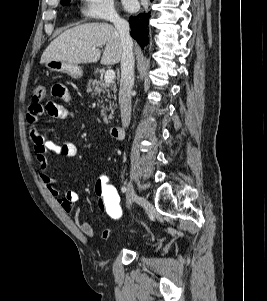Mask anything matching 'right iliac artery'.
Wrapping results in <instances>:
<instances>
[{"mask_svg":"<svg viewBox=\"0 0 267 301\" xmlns=\"http://www.w3.org/2000/svg\"><path fill=\"white\" fill-rule=\"evenodd\" d=\"M121 191L123 192V193H125L126 191H127V189H126V187L124 186V187H122L121 188ZM129 205H131L132 204V202H127Z\"/></svg>","mask_w":267,"mask_h":301,"instance_id":"obj_1","label":"right iliac artery"}]
</instances>
